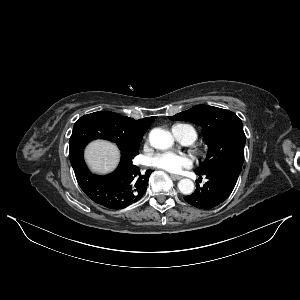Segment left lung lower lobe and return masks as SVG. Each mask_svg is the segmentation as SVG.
Here are the masks:
<instances>
[{
	"instance_id": "1",
	"label": "left lung lower lobe",
	"mask_w": 300,
	"mask_h": 300,
	"mask_svg": "<svg viewBox=\"0 0 300 300\" xmlns=\"http://www.w3.org/2000/svg\"><path fill=\"white\" fill-rule=\"evenodd\" d=\"M202 178L205 175L208 181L200 187L196 183V190L190 196L184 197L186 202L199 209H211L224 202L233 191L239 172L231 169H215L205 174L195 171Z\"/></svg>"
}]
</instances>
